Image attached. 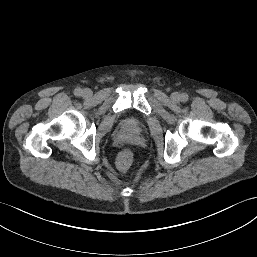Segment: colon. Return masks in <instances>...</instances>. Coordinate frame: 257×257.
I'll return each instance as SVG.
<instances>
[{
    "instance_id": "5ec220e1",
    "label": "colon",
    "mask_w": 257,
    "mask_h": 257,
    "mask_svg": "<svg viewBox=\"0 0 257 257\" xmlns=\"http://www.w3.org/2000/svg\"><path fill=\"white\" fill-rule=\"evenodd\" d=\"M133 163V155L130 150L122 151L117 158V167L121 171H127Z\"/></svg>"
}]
</instances>
